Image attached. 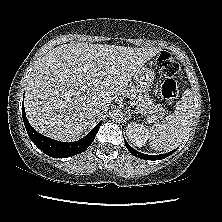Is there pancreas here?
<instances>
[{
	"label": "pancreas",
	"instance_id": "obj_1",
	"mask_svg": "<svg viewBox=\"0 0 222 222\" xmlns=\"http://www.w3.org/2000/svg\"><path fill=\"white\" fill-rule=\"evenodd\" d=\"M124 95L130 99L136 112L151 116L153 118H163L167 111L159 104H154L149 95L139 92L136 88H127Z\"/></svg>",
	"mask_w": 222,
	"mask_h": 222
}]
</instances>
